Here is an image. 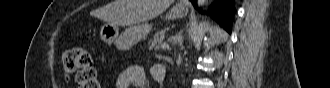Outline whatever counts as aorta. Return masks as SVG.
<instances>
[{
	"instance_id": "762f6f07",
	"label": "aorta",
	"mask_w": 330,
	"mask_h": 88,
	"mask_svg": "<svg viewBox=\"0 0 330 88\" xmlns=\"http://www.w3.org/2000/svg\"><path fill=\"white\" fill-rule=\"evenodd\" d=\"M206 0H198V7H202L203 5H205Z\"/></svg>"
}]
</instances>
